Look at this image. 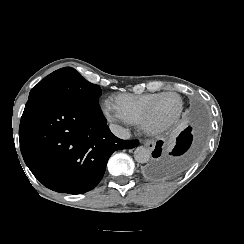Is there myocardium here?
Returning a JSON list of instances; mask_svg holds the SVG:
<instances>
[{
  "mask_svg": "<svg viewBox=\"0 0 244 244\" xmlns=\"http://www.w3.org/2000/svg\"><path fill=\"white\" fill-rule=\"evenodd\" d=\"M164 96H173L176 98L177 100V107L176 109L172 112V114L170 115V117L168 119H163V127L162 128H166L167 126H169L173 120L175 119V117L177 116V114L180 112L181 108H182V98L175 92L172 91H168V92H163L159 95L156 96V98H153L151 100V102L148 105V113L150 117H155V112L153 110V108L155 107L156 104H158V100Z\"/></svg>",
  "mask_w": 244,
  "mask_h": 244,
  "instance_id": "f54148a6",
  "label": "myocardium"
}]
</instances>
